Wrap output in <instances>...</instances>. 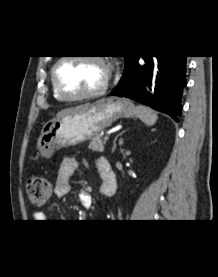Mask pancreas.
Segmentation results:
<instances>
[{"instance_id":"pancreas-1","label":"pancreas","mask_w":218,"mask_h":277,"mask_svg":"<svg viewBox=\"0 0 218 277\" xmlns=\"http://www.w3.org/2000/svg\"><path fill=\"white\" fill-rule=\"evenodd\" d=\"M104 146H105V141L102 140L101 135H98L91 140L88 148L95 152H103Z\"/></svg>"}]
</instances>
